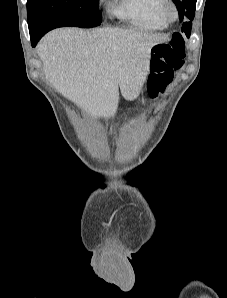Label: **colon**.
<instances>
[{
	"label": "colon",
	"mask_w": 227,
	"mask_h": 298,
	"mask_svg": "<svg viewBox=\"0 0 227 298\" xmlns=\"http://www.w3.org/2000/svg\"><path fill=\"white\" fill-rule=\"evenodd\" d=\"M152 66L154 73L148 82V92L157 96L164 92L171 83L173 75L184 64L185 43L179 34H173L171 39L158 43L152 50Z\"/></svg>",
	"instance_id": "colon-1"
}]
</instances>
